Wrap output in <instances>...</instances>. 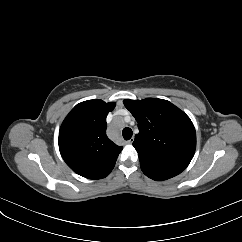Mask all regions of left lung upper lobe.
Here are the masks:
<instances>
[{
  "instance_id": "1",
  "label": "left lung upper lobe",
  "mask_w": 242,
  "mask_h": 242,
  "mask_svg": "<svg viewBox=\"0 0 242 242\" xmlns=\"http://www.w3.org/2000/svg\"><path fill=\"white\" fill-rule=\"evenodd\" d=\"M138 122L133 146L143 173L157 181L172 178L186 169L196 148V132L190 118L163 99L124 100Z\"/></svg>"
}]
</instances>
